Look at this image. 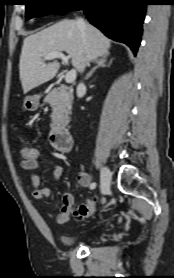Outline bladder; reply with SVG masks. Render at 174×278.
<instances>
[{
    "label": "bladder",
    "instance_id": "31cf9c89",
    "mask_svg": "<svg viewBox=\"0 0 174 278\" xmlns=\"http://www.w3.org/2000/svg\"><path fill=\"white\" fill-rule=\"evenodd\" d=\"M60 240L64 245L71 246L76 243L77 238L69 235H61Z\"/></svg>",
    "mask_w": 174,
    "mask_h": 278
}]
</instances>
